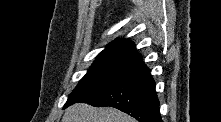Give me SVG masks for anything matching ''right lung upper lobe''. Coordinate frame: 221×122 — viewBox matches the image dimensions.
Segmentation results:
<instances>
[{
    "mask_svg": "<svg viewBox=\"0 0 221 122\" xmlns=\"http://www.w3.org/2000/svg\"><path fill=\"white\" fill-rule=\"evenodd\" d=\"M111 58L134 60L138 62L142 60V56L136 51L134 43L124 39L114 40L97 56V60Z\"/></svg>",
    "mask_w": 221,
    "mask_h": 122,
    "instance_id": "cb5924a9",
    "label": "right lung upper lobe"
}]
</instances>
